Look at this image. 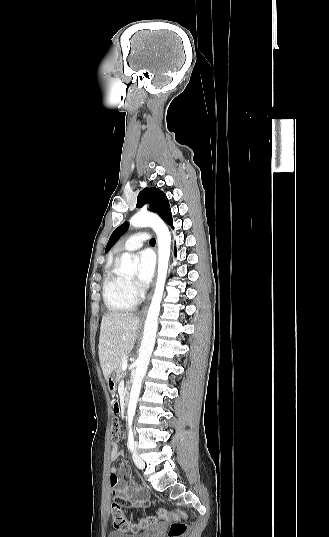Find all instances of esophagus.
Segmentation results:
<instances>
[{"mask_svg":"<svg viewBox=\"0 0 329 537\" xmlns=\"http://www.w3.org/2000/svg\"><path fill=\"white\" fill-rule=\"evenodd\" d=\"M153 286H154V284H153ZM153 286H152V291H153ZM152 291H151V293H150L149 296H148V300H147L146 305L143 307V309H142V311H141V314H142V315L146 314V312H147L148 304H149V301H150L151 296H152Z\"/></svg>","mask_w":329,"mask_h":537,"instance_id":"esophagus-1","label":"esophagus"}]
</instances>
